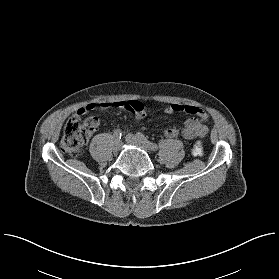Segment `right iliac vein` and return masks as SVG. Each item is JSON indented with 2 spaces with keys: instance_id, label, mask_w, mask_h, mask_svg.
<instances>
[{
  "instance_id": "right-iliac-vein-1",
  "label": "right iliac vein",
  "mask_w": 279,
  "mask_h": 279,
  "mask_svg": "<svg viewBox=\"0 0 279 279\" xmlns=\"http://www.w3.org/2000/svg\"><path fill=\"white\" fill-rule=\"evenodd\" d=\"M121 147H122V142L120 140L116 141L113 145V151L118 152L120 151Z\"/></svg>"
}]
</instances>
